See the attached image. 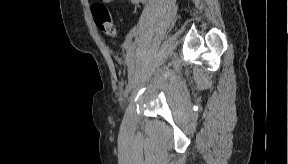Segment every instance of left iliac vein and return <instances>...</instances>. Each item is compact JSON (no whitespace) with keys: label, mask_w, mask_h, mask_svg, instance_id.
Segmentation results:
<instances>
[{"label":"left iliac vein","mask_w":288,"mask_h":164,"mask_svg":"<svg viewBox=\"0 0 288 164\" xmlns=\"http://www.w3.org/2000/svg\"><path fill=\"white\" fill-rule=\"evenodd\" d=\"M134 88V79L131 78L126 86V89H125V92H124V96L127 97L131 91L133 90Z\"/></svg>","instance_id":"obj_1"}]
</instances>
